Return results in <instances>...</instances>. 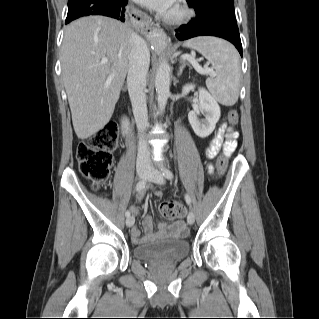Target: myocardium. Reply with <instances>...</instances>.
<instances>
[{"instance_id": "1", "label": "myocardium", "mask_w": 319, "mask_h": 319, "mask_svg": "<svg viewBox=\"0 0 319 319\" xmlns=\"http://www.w3.org/2000/svg\"><path fill=\"white\" fill-rule=\"evenodd\" d=\"M190 15V9L182 1H177L174 5V10L166 14L164 20L170 24H179L187 20Z\"/></svg>"}]
</instances>
